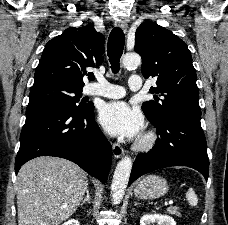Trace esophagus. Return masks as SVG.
Returning <instances> with one entry per match:
<instances>
[{
    "mask_svg": "<svg viewBox=\"0 0 228 225\" xmlns=\"http://www.w3.org/2000/svg\"><path fill=\"white\" fill-rule=\"evenodd\" d=\"M115 26L119 27L123 32H126L128 29V25L125 21H116ZM113 156L118 159L124 154V150L119 143H113L112 146Z\"/></svg>",
    "mask_w": 228,
    "mask_h": 225,
    "instance_id": "1",
    "label": "esophagus"
}]
</instances>
